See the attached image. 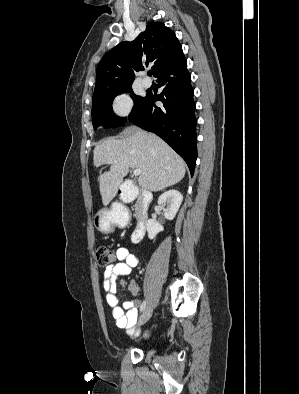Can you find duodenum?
<instances>
[{"mask_svg":"<svg viewBox=\"0 0 299 394\" xmlns=\"http://www.w3.org/2000/svg\"><path fill=\"white\" fill-rule=\"evenodd\" d=\"M118 193L122 195L124 201L131 202L135 198L137 202V224L132 234L133 242H139L145 234L146 224L148 219V207L153 199L152 193L149 191H142L139 196H136L132 191V185L123 184L118 187Z\"/></svg>","mask_w":299,"mask_h":394,"instance_id":"410a0bca","label":"duodenum"}]
</instances>
